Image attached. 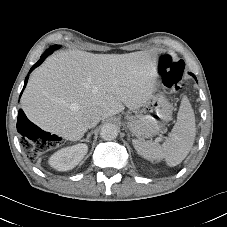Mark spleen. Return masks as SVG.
Segmentation results:
<instances>
[{"mask_svg":"<svg viewBox=\"0 0 227 227\" xmlns=\"http://www.w3.org/2000/svg\"><path fill=\"white\" fill-rule=\"evenodd\" d=\"M196 136L195 115L186 96L182 98L177 122L162 145L156 141L133 140L139 155L153 160L165 159L168 166L180 164L190 152Z\"/></svg>","mask_w":227,"mask_h":227,"instance_id":"1","label":"spleen"}]
</instances>
